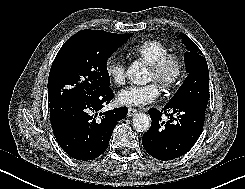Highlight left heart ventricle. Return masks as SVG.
I'll return each instance as SVG.
<instances>
[{
	"label": "left heart ventricle",
	"mask_w": 245,
	"mask_h": 189,
	"mask_svg": "<svg viewBox=\"0 0 245 189\" xmlns=\"http://www.w3.org/2000/svg\"><path fill=\"white\" fill-rule=\"evenodd\" d=\"M168 73H170V71L168 72ZM147 79L148 80H152V81H155V82H157V80H156V78H155V76L152 74V72H151V70L149 69V71H148V76H147ZM158 83V82H157Z\"/></svg>",
	"instance_id": "left-heart-ventricle-1"
}]
</instances>
